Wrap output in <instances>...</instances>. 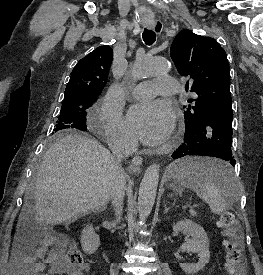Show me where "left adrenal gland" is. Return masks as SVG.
<instances>
[{"mask_svg":"<svg viewBox=\"0 0 263 275\" xmlns=\"http://www.w3.org/2000/svg\"><path fill=\"white\" fill-rule=\"evenodd\" d=\"M169 209H170V207L167 208V206H166V204H165V205H164V214H166V213L168 212Z\"/></svg>","mask_w":263,"mask_h":275,"instance_id":"obj_1","label":"left adrenal gland"}]
</instances>
